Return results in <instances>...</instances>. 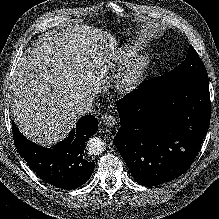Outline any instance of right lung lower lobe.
Here are the masks:
<instances>
[{"label": "right lung lower lobe", "mask_w": 219, "mask_h": 219, "mask_svg": "<svg viewBox=\"0 0 219 219\" xmlns=\"http://www.w3.org/2000/svg\"><path fill=\"white\" fill-rule=\"evenodd\" d=\"M98 130L93 115L82 116L69 136L51 148L27 140L12 123L13 138L19 154L33 171L45 182L64 189H74L84 184L95 167L84 157L85 142Z\"/></svg>", "instance_id": "98d812e1"}]
</instances>
